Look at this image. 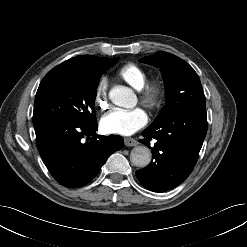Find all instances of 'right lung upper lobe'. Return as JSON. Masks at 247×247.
Segmentation results:
<instances>
[{
	"mask_svg": "<svg viewBox=\"0 0 247 247\" xmlns=\"http://www.w3.org/2000/svg\"><path fill=\"white\" fill-rule=\"evenodd\" d=\"M104 58L82 55L71 58L53 68L48 73H68L74 75H91L94 74Z\"/></svg>",
	"mask_w": 247,
	"mask_h": 247,
	"instance_id": "1",
	"label": "right lung upper lobe"
}]
</instances>
